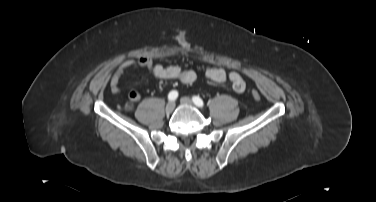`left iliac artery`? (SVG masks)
<instances>
[{
  "label": "left iliac artery",
  "instance_id": "1",
  "mask_svg": "<svg viewBox=\"0 0 376 202\" xmlns=\"http://www.w3.org/2000/svg\"><path fill=\"white\" fill-rule=\"evenodd\" d=\"M192 100H193V102H194L197 106H199V107H203V106H204V102H203V100H202L199 96H194V97L192 98Z\"/></svg>",
  "mask_w": 376,
  "mask_h": 202
}]
</instances>
